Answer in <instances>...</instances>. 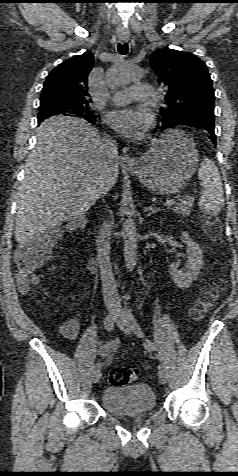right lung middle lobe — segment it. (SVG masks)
I'll use <instances>...</instances> for the list:
<instances>
[{
	"label": "right lung middle lobe",
	"mask_w": 238,
	"mask_h": 476,
	"mask_svg": "<svg viewBox=\"0 0 238 476\" xmlns=\"http://www.w3.org/2000/svg\"><path fill=\"white\" fill-rule=\"evenodd\" d=\"M59 114L79 116L91 123L95 121V116L89 110V106H68L52 101L40 103L38 121L41 122L45 118Z\"/></svg>",
	"instance_id": "right-lung-middle-lobe-1"
}]
</instances>
